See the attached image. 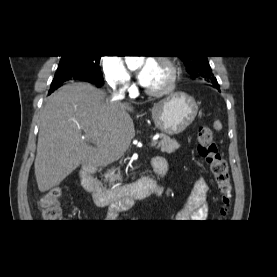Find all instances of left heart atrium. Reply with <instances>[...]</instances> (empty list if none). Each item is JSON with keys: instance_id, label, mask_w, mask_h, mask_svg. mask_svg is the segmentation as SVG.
Wrapping results in <instances>:
<instances>
[{"instance_id": "39dd6f15", "label": "left heart atrium", "mask_w": 277, "mask_h": 277, "mask_svg": "<svg viewBox=\"0 0 277 277\" xmlns=\"http://www.w3.org/2000/svg\"><path fill=\"white\" fill-rule=\"evenodd\" d=\"M155 63L153 60H147L139 70L137 77L141 85L148 87Z\"/></svg>"}]
</instances>
